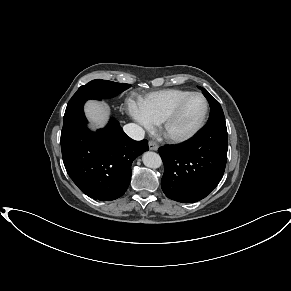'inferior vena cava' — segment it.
Segmentation results:
<instances>
[{"label":"inferior vena cava","instance_id":"602c4592","mask_svg":"<svg viewBox=\"0 0 291 291\" xmlns=\"http://www.w3.org/2000/svg\"><path fill=\"white\" fill-rule=\"evenodd\" d=\"M124 132L132 139L134 140H142L144 138L145 135V131L143 130L142 127H140L139 125L130 123L127 124L123 127Z\"/></svg>","mask_w":291,"mask_h":291}]
</instances>
